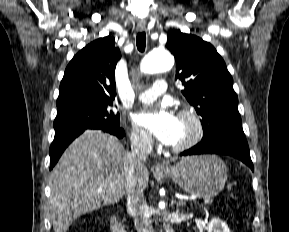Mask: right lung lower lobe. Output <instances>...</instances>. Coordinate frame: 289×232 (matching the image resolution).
I'll return each instance as SVG.
<instances>
[{
  "label": "right lung lower lobe",
  "instance_id": "right-lung-lower-lobe-1",
  "mask_svg": "<svg viewBox=\"0 0 289 232\" xmlns=\"http://www.w3.org/2000/svg\"><path fill=\"white\" fill-rule=\"evenodd\" d=\"M88 129L91 128H74L55 133L54 140L49 149L50 165H51L50 169H52L54 165L57 163L58 159L60 158L61 154L66 149V147L76 137H78L81 133H83L85 130ZM98 130L108 132L110 134L115 135L118 138H122L125 135V131L120 127H106L100 128Z\"/></svg>",
  "mask_w": 289,
  "mask_h": 232
}]
</instances>
